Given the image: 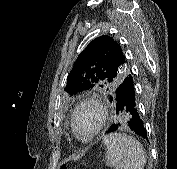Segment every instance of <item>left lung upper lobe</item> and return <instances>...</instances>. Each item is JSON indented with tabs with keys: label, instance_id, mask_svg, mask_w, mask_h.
I'll use <instances>...</instances> for the list:
<instances>
[{
	"label": "left lung upper lobe",
	"instance_id": "obj_1",
	"mask_svg": "<svg viewBox=\"0 0 177 169\" xmlns=\"http://www.w3.org/2000/svg\"><path fill=\"white\" fill-rule=\"evenodd\" d=\"M127 73V60L120 44L103 35L91 41L80 53L67 77L65 91L101 89L114 94Z\"/></svg>",
	"mask_w": 177,
	"mask_h": 169
}]
</instances>
